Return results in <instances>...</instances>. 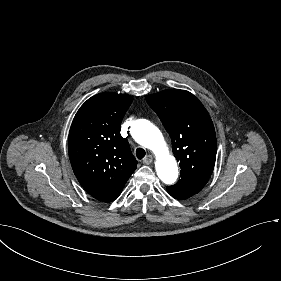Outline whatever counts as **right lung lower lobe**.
Segmentation results:
<instances>
[{"label":"right lung lower lobe","mask_w":281,"mask_h":281,"mask_svg":"<svg viewBox=\"0 0 281 281\" xmlns=\"http://www.w3.org/2000/svg\"><path fill=\"white\" fill-rule=\"evenodd\" d=\"M121 191H122V190H121ZM121 191L118 192L117 194H115V195H114L109 201H107V202H111V201L115 200V199L120 195Z\"/></svg>","instance_id":"1"}]
</instances>
